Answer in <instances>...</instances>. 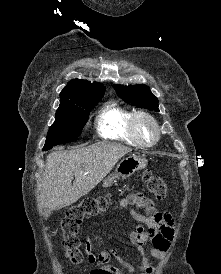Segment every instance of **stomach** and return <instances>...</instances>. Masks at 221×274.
I'll list each match as a JSON object with an SVG mask.
<instances>
[{
  "label": "stomach",
  "instance_id": "stomach-1",
  "mask_svg": "<svg viewBox=\"0 0 221 274\" xmlns=\"http://www.w3.org/2000/svg\"><path fill=\"white\" fill-rule=\"evenodd\" d=\"M148 161L135 154L123 158L115 169V172L106 178L103 182V187H110L116 179H126L132 176L138 170H141L147 166Z\"/></svg>",
  "mask_w": 221,
  "mask_h": 274
}]
</instances>
